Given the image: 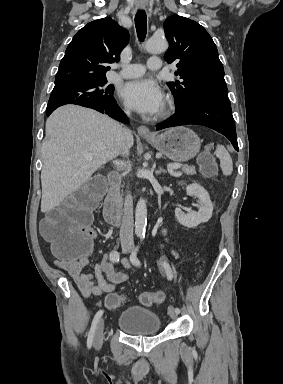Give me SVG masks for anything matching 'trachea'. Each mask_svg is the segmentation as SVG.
Masks as SVG:
<instances>
[{"instance_id":"trachea-1","label":"trachea","mask_w":283,"mask_h":384,"mask_svg":"<svg viewBox=\"0 0 283 384\" xmlns=\"http://www.w3.org/2000/svg\"><path fill=\"white\" fill-rule=\"evenodd\" d=\"M135 27L140 42H143L147 33V16L144 10L137 11L135 15Z\"/></svg>"}]
</instances>
